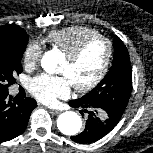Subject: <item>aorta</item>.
Instances as JSON below:
<instances>
[{
  "instance_id": "aorta-1",
  "label": "aorta",
  "mask_w": 153,
  "mask_h": 153,
  "mask_svg": "<svg viewBox=\"0 0 153 153\" xmlns=\"http://www.w3.org/2000/svg\"><path fill=\"white\" fill-rule=\"evenodd\" d=\"M41 66L49 74L56 73L58 59L53 51H48L43 55ZM57 126L60 132L65 135H76L82 128V119L77 113L66 111L59 115Z\"/></svg>"
}]
</instances>
